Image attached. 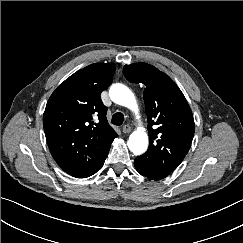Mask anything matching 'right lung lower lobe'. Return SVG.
Masks as SVG:
<instances>
[{
  "instance_id": "1",
  "label": "right lung lower lobe",
  "mask_w": 243,
  "mask_h": 243,
  "mask_svg": "<svg viewBox=\"0 0 243 243\" xmlns=\"http://www.w3.org/2000/svg\"><path fill=\"white\" fill-rule=\"evenodd\" d=\"M106 159V158H105ZM105 161V160H104ZM104 161L99 165V167L92 173V174H90L89 176H91V175H93L94 173H96L101 167H102V165L104 164ZM89 176H87V177H89Z\"/></svg>"
}]
</instances>
